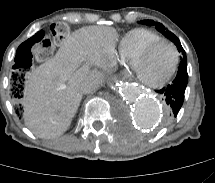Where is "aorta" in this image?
Here are the masks:
<instances>
[{
    "mask_svg": "<svg viewBox=\"0 0 215 183\" xmlns=\"http://www.w3.org/2000/svg\"><path fill=\"white\" fill-rule=\"evenodd\" d=\"M111 90L115 99L131 112L137 125L152 128L161 122L162 106L139 86L114 80L111 83Z\"/></svg>",
    "mask_w": 215,
    "mask_h": 183,
    "instance_id": "aorta-1",
    "label": "aorta"
}]
</instances>
